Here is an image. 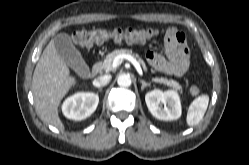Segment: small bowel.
<instances>
[{
  "label": "small bowel",
  "instance_id": "obj_1",
  "mask_svg": "<svg viewBox=\"0 0 249 165\" xmlns=\"http://www.w3.org/2000/svg\"><path fill=\"white\" fill-rule=\"evenodd\" d=\"M180 32L175 27L165 31L164 46L166 57L155 51L147 52L149 64L156 70L177 77L183 76L189 66L190 55L186 46L179 38Z\"/></svg>",
  "mask_w": 249,
  "mask_h": 165
}]
</instances>
